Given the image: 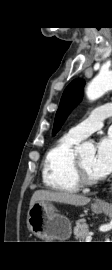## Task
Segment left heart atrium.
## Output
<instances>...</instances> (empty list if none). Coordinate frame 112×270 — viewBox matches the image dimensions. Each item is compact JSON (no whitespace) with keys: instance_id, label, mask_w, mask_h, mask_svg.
Here are the masks:
<instances>
[{"instance_id":"left-heart-atrium-1","label":"left heart atrium","mask_w":112,"mask_h":270,"mask_svg":"<svg viewBox=\"0 0 112 270\" xmlns=\"http://www.w3.org/2000/svg\"><path fill=\"white\" fill-rule=\"evenodd\" d=\"M92 171L97 178H103L112 172V134L99 140Z\"/></svg>"}]
</instances>
